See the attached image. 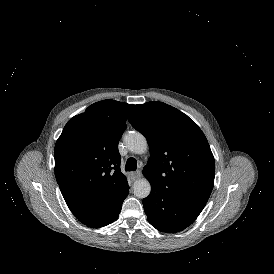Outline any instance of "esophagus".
<instances>
[{"label":"esophagus","mask_w":274,"mask_h":274,"mask_svg":"<svg viewBox=\"0 0 274 274\" xmlns=\"http://www.w3.org/2000/svg\"><path fill=\"white\" fill-rule=\"evenodd\" d=\"M142 176V174H141V171H134V172H131V173H129L128 174V177L132 180V181H134V180H136V179H139L140 177Z\"/></svg>","instance_id":"1"}]
</instances>
